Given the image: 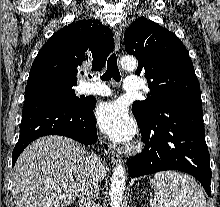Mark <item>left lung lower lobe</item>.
<instances>
[{
    "label": "left lung lower lobe",
    "instance_id": "obj_1",
    "mask_svg": "<svg viewBox=\"0 0 220 207\" xmlns=\"http://www.w3.org/2000/svg\"><path fill=\"white\" fill-rule=\"evenodd\" d=\"M138 125L145 148L127 162L130 177L179 170L199 180L210 196V157L201 99L176 101L153 121Z\"/></svg>",
    "mask_w": 220,
    "mask_h": 207
}]
</instances>
